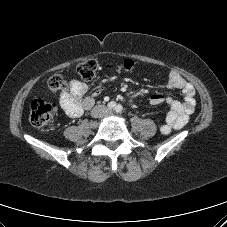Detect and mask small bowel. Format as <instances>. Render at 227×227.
<instances>
[{
    "label": "small bowel",
    "mask_w": 227,
    "mask_h": 227,
    "mask_svg": "<svg viewBox=\"0 0 227 227\" xmlns=\"http://www.w3.org/2000/svg\"><path fill=\"white\" fill-rule=\"evenodd\" d=\"M168 86L172 90H180L184 94V99L179 101L162 94H154L149 100L151 105L166 103L170 109L165 124L161 126L163 134H169L172 130L183 128L188 123L196 104L195 88L179 73H170ZM87 90L86 83L73 80L70 83L69 90L61 93L60 106L68 116L79 118L94 105L95 97L101 94V89H96L92 95L85 96Z\"/></svg>",
    "instance_id": "obj_1"
}]
</instances>
